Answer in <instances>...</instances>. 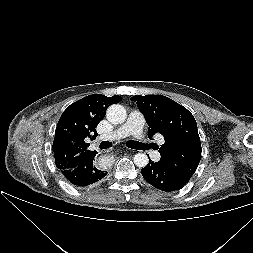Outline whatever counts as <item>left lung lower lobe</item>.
<instances>
[{
	"label": "left lung lower lobe",
	"instance_id": "obj_1",
	"mask_svg": "<svg viewBox=\"0 0 253 253\" xmlns=\"http://www.w3.org/2000/svg\"><path fill=\"white\" fill-rule=\"evenodd\" d=\"M141 174L149 184L162 191L179 190L187 184L186 180L175 175L169 168L151 160L141 169Z\"/></svg>",
	"mask_w": 253,
	"mask_h": 253
}]
</instances>
